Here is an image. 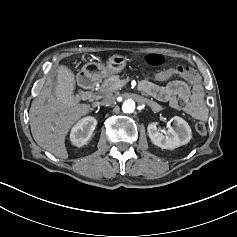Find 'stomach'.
<instances>
[{
  "instance_id": "0dacf381",
  "label": "stomach",
  "mask_w": 237,
  "mask_h": 237,
  "mask_svg": "<svg viewBox=\"0 0 237 237\" xmlns=\"http://www.w3.org/2000/svg\"><path fill=\"white\" fill-rule=\"evenodd\" d=\"M128 63L127 56L114 54L110 56L105 64H95L99 73L98 78H106L111 74H119L126 68Z\"/></svg>"
}]
</instances>
